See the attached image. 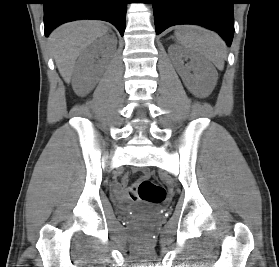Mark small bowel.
<instances>
[{
  "label": "small bowel",
  "mask_w": 279,
  "mask_h": 267,
  "mask_svg": "<svg viewBox=\"0 0 279 267\" xmlns=\"http://www.w3.org/2000/svg\"><path fill=\"white\" fill-rule=\"evenodd\" d=\"M128 181V177L125 176L123 178V183H126ZM135 191V186H128V191H125V189L123 188V185L120 183H113L112 185V193L114 195L115 198L119 199V200H125L128 197H131L132 199H134L135 201L138 199L137 198V192H133Z\"/></svg>",
  "instance_id": "obj_1"
}]
</instances>
